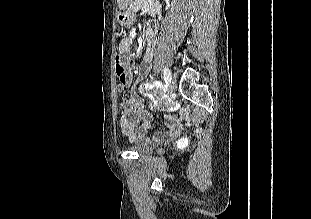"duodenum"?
Instances as JSON below:
<instances>
[{
  "label": "duodenum",
  "instance_id": "duodenum-1",
  "mask_svg": "<svg viewBox=\"0 0 311 219\" xmlns=\"http://www.w3.org/2000/svg\"><path fill=\"white\" fill-rule=\"evenodd\" d=\"M154 30H155V25H154L153 23H150V24L148 25V31H149L150 33H152Z\"/></svg>",
  "mask_w": 311,
  "mask_h": 219
}]
</instances>
